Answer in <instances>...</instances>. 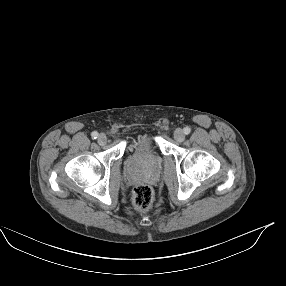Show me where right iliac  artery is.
<instances>
[{
	"mask_svg": "<svg viewBox=\"0 0 286 286\" xmlns=\"http://www.w3.org/2000/svg\"><path fill=\"white\" fill-rule=\"evenodd\" d=\"M93 139H96L98 137V133L96 131L92 132L91 134Z\"/></svg>",
	"mask_w": 286,
	"mask_h": 286,
	"instance_id": "82829eb1",
	"label": "right iliac artery"
}]
</instances>
